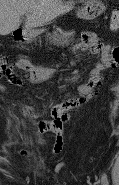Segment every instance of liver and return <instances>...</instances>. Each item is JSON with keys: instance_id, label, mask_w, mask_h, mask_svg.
I'll return each mask as SVG.
<instances>
[{"instance_id": "1", "label": "liver", "mask_w": 119, "mask_h": 185, "mask_svg": "<svg viewBox=\"0 0 119 185\" xmlns=\"http://www.w3.org/2000/svg\"><path fill=\"white\" fill-rule=\"evenodd\" d=\"M72 9L60 0H0V35L19 29L20 16L28 14L25 29L43 26Z\"/></svg>"}]
</instances>
